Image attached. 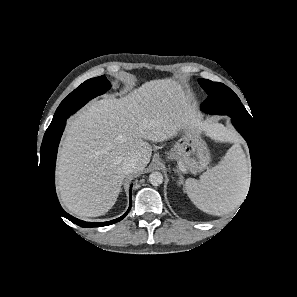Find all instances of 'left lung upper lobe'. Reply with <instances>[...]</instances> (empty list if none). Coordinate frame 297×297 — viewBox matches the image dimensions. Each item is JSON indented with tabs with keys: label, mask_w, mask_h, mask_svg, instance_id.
Returning a JSON list of instances; mask_svg holds the SVG:
<instances>
[{
	"label": "left lung upper lobe",
	"mask_w": 297,
	"mask_h": 297,
	"mask_svg": "<svg viewBox=\"0 0 297 297\" xmlns=\"http://www.w3.org/2000/svg\"><path fill=\"white\" fill-rule=\"evenodd\" d=\"M201 87L208 94L201 104V109L210 114H227L241 121L253 124V119L241 103L238 96L226 85L207 79L198 80Z\"/></svg>",
	"instance_id": "5c2ea615"
}]
</instances>
